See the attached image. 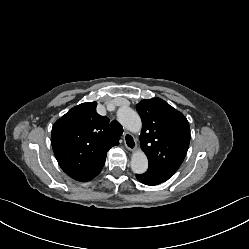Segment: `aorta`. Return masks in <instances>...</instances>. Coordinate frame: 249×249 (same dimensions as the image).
<instances>
[{
	"mask_svg": "<svg viewBox=\"0 0 249 249\" xmlns=\"http://www.w3.org/2000/svg\"><path fill=\"white\" fill-rule=\"evenodd\" d=\"M117 119L119 123L131 132H139L141 130V119L136 111L130 107H120L117 111ZM131 169L136 174H143L148 169V159L145 153L137 150L131 157Z\"/></svg>",
	"mask_w": 249,
	"mask_h": 249,
	"instance_id": "obj_1",
	"label": "aorta"
}]
</instances>
